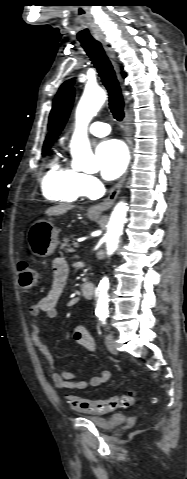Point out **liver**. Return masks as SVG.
I'll list each match as a JSON object with an SVG mask.
<instances>
[{
	"label": "liver",
	"instance_id": "obj_1",
	"mask_svg": "<svg viewBox=\"0 0 187 479\" xmlns=\"http://www.w3.org/2000/svg\"><path fill=\"white\" fill-rule=\"evenodd\" d=\"M72 208H73V205L62 203V204L48 208L45 211V214L47 216H59V215H63L64 213H66L68 210H71Z\"/></svg>",
	"mask_w": 187,
	"mask_h": 479
}]
</instances>
